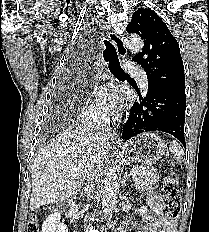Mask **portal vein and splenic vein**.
Here are the masks:
<instances>
[{
	"instance_id": "18ae733b",
	"label": "portal vein and splenic vein",
	"mask_w": 209,
	"mask_h": 232,
	"mask_svg": "<svg viewBox=\"0 0 209 232\" xmlns=\"http://www.w3.org/2000/svg\"><path fill=\"white\" fill-rule=\"evenodd\" d=\"M142 168H143V167H142ZM135 174H136V171H135L134 169H132V170H131V175H132V177L135 176Z\"/></svg>"
}]
</instances>
